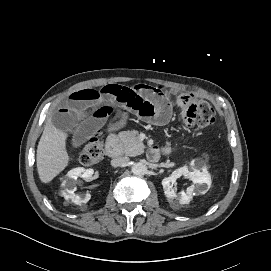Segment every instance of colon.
Segmentation results:
<instances>
[{
  "instance_id": "obj_1",
  "label": "colon",
  "mask_w": 271,
  "mask_h": 271,
  "mask_svg": "<svg viewBox=\"0 0 271 271\" xmlns=\"http://www.w3.org/2000/svg\"><path fill=\"white\" fill-rule=\"evenodd\" d=\"M177 100L182 107V116L187 126H197L201 130L209 128L215 120L213 107L206 100L191 93H180ZM103 158L99 133L90 136L80 154V163L91 166Z\"/></svg>"
}]
</instances>
